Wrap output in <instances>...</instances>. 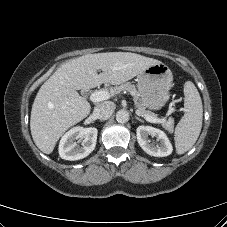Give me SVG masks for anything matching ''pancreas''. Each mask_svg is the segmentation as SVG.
Wrapping results in <instances>:
<instances>
[{"label": "pancreas", "instance_id": "cf45deb5", "mask_svg": "<svg viewBox=\"0 0 227 227\" xmlns=\"http://www.w3.org/2000/svg\"><path fill=\"white\" fill-rule=\"evenodd\" d=\"M121 91L128 92L130 95H132L134 97L136 108L141 115H150V116L156 117V114L146 110L145 107L141 104V102H137V100L139 99L138 91H137L136 87L134 85H132L130 82L121 84L120 86H116L112 89V92L114 94H117ZM161 124H162L163 128L166 129L168 132H173L174 119L172 117H170L168 119H163L161 121Z\"/></svg>", "mask_w": 227, "mask_h": 227}]
</instances>
